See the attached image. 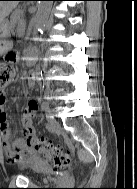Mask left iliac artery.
Returning a JSON list of instances; mask_svg holds the SVG:
<instances>
[{
	"mask_svg": "<svg viewBox=\"0 0 137 189\" xmlns=\"http://www.w3.org/2000/svg\"><path fill=\"white\" fill-rule=\"evenodd\" d=\"M45 108H48V103L47 102H44L43 105H42V109H45Z\"/></svg>",
	"mask_w": 137,
	"mask_h": 189,
	"instance_id": "44dca946",
	"label": "left iliac artery"
}]
</instances>
